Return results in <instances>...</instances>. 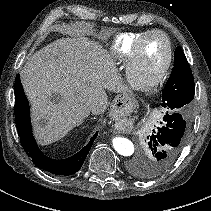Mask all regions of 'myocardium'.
<instances>
[{
	"label": "myocardium",
	"mask_w": 211,
	"mask_h": 211,
	"mask_svg": "<svg viewBox=\"0 0 211 211\" xmlns=\"http://www.w3.org/2000/svg\"><path fill=\"white\" fill-rule=\"evenodd\" d=\"M152 35H160L165 39L167 45L166 59L162 64L161 68L158 70L156 75L151 80L147 82H140L136 78V70L138 68L142 46L147 40V38ZM172 58H173V47L169 37L160 30L148 31L137 40V42L133 47L131 57L127 62L126 76L129 84L131 85L132 88L142 92H150L154 90L164 80L165 76L167 75L172 63Z\"/></svg>",
	"instance_id": "1"
}]
</instances>
